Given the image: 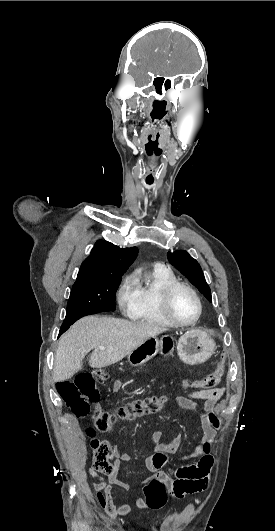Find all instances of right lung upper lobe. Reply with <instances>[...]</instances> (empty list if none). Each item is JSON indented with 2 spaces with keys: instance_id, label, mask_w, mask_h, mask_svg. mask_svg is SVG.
<instances>
[{
  "instance_id": "cb5924a9",
  "label": "right lung upper lobe",
  "mask_w": 275,
  "mask_h": 531,
  "mask_svg": "<svg viewBox=\"0 0 275 531\" xmlns=\"http://www.w3.org/2000/svg\"><path fill=\"white\" fill-rule=\"evenodd\" d=\"M137 253L136 247L122 249L108 241L98 240L90 255L82 263L77 279L122 276Z\"/></svg>"
}]
</instances>
